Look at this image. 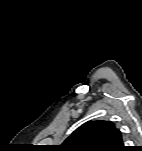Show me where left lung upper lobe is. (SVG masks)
Instances as JSON below:
<instances>
[{
	"instance_id": "obj_1",
	"label": "left lung upper lobe",
	"mask_w": 142,
	"mask_h": 151,
	"mask_svg": "<svg viewBox=\"0 0 142 151\" xmlns=\"http://www.w3.org/2000/svg\"><path fill=\"white\" fill-rule=\"evenodd\" d=\"M68 151H124L122 135L111 121H88L61 145Z\"/></svg>"
}]
</instances>
